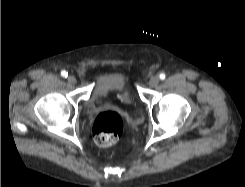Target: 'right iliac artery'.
Returning <instances> with one entry per match:
<instances>
[{
  "label": "right iliac artery",
  "instance_id": "obj_1",
  "mask_svg": "<svg viewBox=\"0 0 245 187\" xmlns=\"http://www.w3.org/2000/svg\"><path fill=\"white\" fill-rule=\"evenodd\" d=\"M61 76L66 78L68 76V73L65 70H63L61 72Z\"/></svg>",
  "mask_w": 245,
  "mask_h": 187
}]
</instances>
